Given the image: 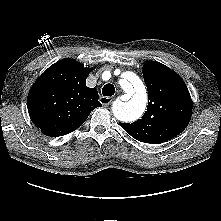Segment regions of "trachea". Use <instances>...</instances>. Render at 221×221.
<instances>
[{"mask_svg":"<svg viewBox=\"0 0 221 221\" xmlns=\"http://www.w3.org/2000/svg\"><path fill=\"white\" fill-rule=\"evenodd\" d=\"M115 93V88L112 84H106L103 88H102V94L103 96H112Z\"/></svg>","mask_w":221,"mask_h":221,"instance_id":"obj_1","label":"trachea"}]
</instances>
